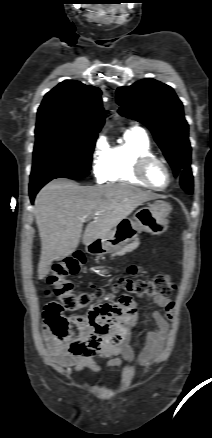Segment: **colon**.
I'll return each mask as SVG.
<instances>
[{
	"label": "colon",
	"mask_w": 212,
	"mask_h": 438,
	"mask_svg": "<svg viewBox=\"0 0 212 438\" xmlns=\"http://www.w3.org/2000/svg\"><path fill=\"white\" fill-rule=\"evenodd\" d=\"M84 257L81 253H75L53 267L52 274L48 277V283L58 300L49 302L44 309V321L58 336L69 333V322L65 312H74L86 308L100 293V289L93 292L74 293L73 283L69 276L77 274L83 267ZM175 284L168 275H157L153 279H121L115 284V290H122L125 296L132 295L153 299L156 297L168 298L175 290Z\"/></svg>",
	"instance_id": "obj_1"
}]
</instances>
